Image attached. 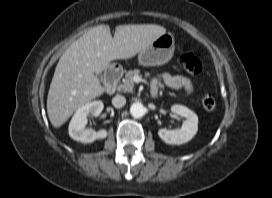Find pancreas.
<instances>
[{
    "mask_svg": "<svg viewBox=\"0 0 272 198\" xmlns=\"http://www.w3.org/2000/svg\"><path fill=\"white\" fill-rule=\"evenodd\" d=\"M140 75V70L139 69H134V70H130L125 74V78L122 80V84H120V86L118 87V89L122 92H128V93H132L133 89H134V80L133 78L135 76H139ZM145 75L147 77H150V73L146 72ZM159 88L163 89L164 85L163 84H159Z\"/></svg>",
    "mask_w": 272,
    "mask_h": 198,
    "instance_id": "obj_1",
    "label": "pancreas"
}]
</instances>
